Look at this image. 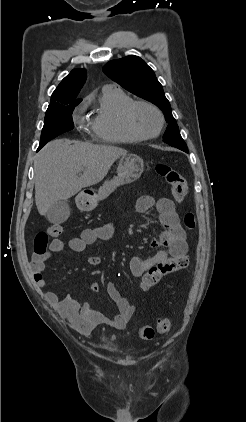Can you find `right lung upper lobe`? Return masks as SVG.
<instances>
[{"mask_svg":"<svg viewBox=\"0 0 246 422\" xmlns=\"http://www.w3.org/2000/svg\"><path fill=\"white\" fill-rule=\"evenodd\" d=\"M86 77L85 69L72 70L53 92L49 107L69 102H81V99H78L77 95L85 83Z\"/></svg>","mask_w":246,"mask_h":422,"instance_id":"1","label":"right lung upper lobe"}]
</instances>
